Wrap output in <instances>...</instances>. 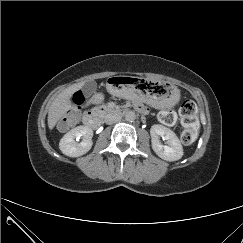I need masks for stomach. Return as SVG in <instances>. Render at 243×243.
Wrapping results in <instances>:
<instances>
[{
  "label": "stomach",
  "mask_w": 243,
  "mask_h": 243,
  "mask_svg": "<svg viewBox=\"0 0 243 243\" xmlns=\"http://www.w3.org/2000/svg\"><path fill=\"white\" fill-rule=\"evenodd\" d=\"M109 92L125 100L149 103L159 109L174 107L179 99V90L167 79L114 76L108 83Z\"/></svg>",
  "instance_id": "stomach-1"
}]
</instances>
